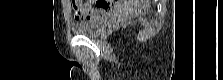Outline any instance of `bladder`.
I'll list each match as a JSON object with an SVG mask.
<instances>
[{
  "label": "bladder",
  "mask_w": 223,
  "mask_h": 80,
  "mask_svg": "<svg viewBox=\"0 0 223 80\" xmlns=\"http://www.w3.org/2000/svg\"><path fill=\"white\" fill-rule=\"evenodd\" d=\"M111 15L102 14L91 19H87L71 25L72 31L80 36L95 37L99 35L107 26Z\"/></svg>",
  "instance_id": "31cf9c89"
}]
</instances>
